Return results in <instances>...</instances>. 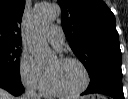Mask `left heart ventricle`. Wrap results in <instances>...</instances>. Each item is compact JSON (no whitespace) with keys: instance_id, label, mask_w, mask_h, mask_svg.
<instances>
[{"instance_id":"1","label":"left heart ventricle","mask_w":128,"mask_h":99,"mask_svg":"<svg viewBox=\"0 0 128 99\" xmlns=\"http://www.w3.org/2000/svg\"><path fill=\"white\" fill-rule=\"evenodd\" d=\"M57 86L66 92L78 90L84 83V73L81 67L74 62L55 60L48 68Z\"/></svg>"}]
</instances>
